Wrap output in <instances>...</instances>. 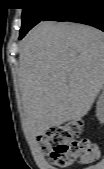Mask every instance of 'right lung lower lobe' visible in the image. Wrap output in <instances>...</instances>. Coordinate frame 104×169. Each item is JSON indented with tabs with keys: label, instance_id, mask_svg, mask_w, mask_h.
Segmentation results:
<instances>
[{
	"label": "right lung lower lobe",
	"instance_id": "obj_1",
	"mask_svg": "<svg viewBox=\"0 0 104 169\" xmlns=\"http://www.w3.org/2000/svg\"><path fill=\"white\" fill-rule=\"evenodd\" d=\"M58 5L43 21H70L104 31V0H55Z\"/></svg>",
	"mask_w": 104,
	"mask_h": 169
}]
</instances>
